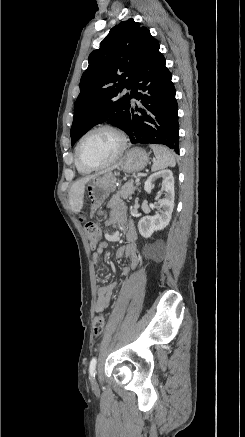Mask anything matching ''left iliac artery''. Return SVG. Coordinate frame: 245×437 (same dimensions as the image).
I'll list each match as a JSON object with an SVG mask.
<instances>
[{
	"label": "left iliac artery",
	"mask_w": 245,
	"mask_h": 437,
	"mask_svg": "<svg viewBox=\"0 0 245 437\" xmlns=\"http://www.w3.org/2000/svg\"><path fill=\"white\" fill-rule=\"evenodd\" d=\"M96 365H97V359L95 357H93L90 361V365H89V375H90V379L92 380L95 376V370H96Z\"/></svg>",
	"instance_id": "left-iliac-artery-1"
}]
</instances>
